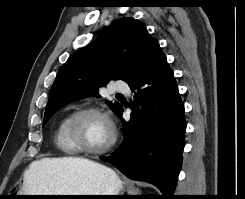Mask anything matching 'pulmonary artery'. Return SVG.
Returning <instances> with one entry per match:
<instances>
[{"instance_id":"obj_1","label":"pulmonary artery","mask_w":245,"mask_h":199,"mask_svg":"<svg viewBox=\"0 0 245 199\" xmlns=\"http://www.w3.org/2000/svg\"><path fill=\"white\" fill-rule=\"evenodd\" d=\"M112 93H127L129 92V86L124 82H115L111 86Z\"/></svg>"}]
</instances>
